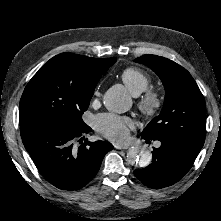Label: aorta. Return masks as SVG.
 Returning <instances> with one entry per match:
<instances>
[{"instance_id": "762f6f07", "label": "aorta", "mask_w": 221, "mask_h": 221, "mask_svg": "<svg viewBox=\"0 0 221 221\" xmlns=\"http://www.w3.org/2000/svg\"><path fill=\"white\" fill-rule=\"evenodd\" d=\"M105 107L115 113H123L130 109L132 101L126 89L122 86H114L106 91L103 97ZM128 162L136 167L144 168L152 161L149 150L132 146L127 152Z\"/></svg>"}]
</instances>
